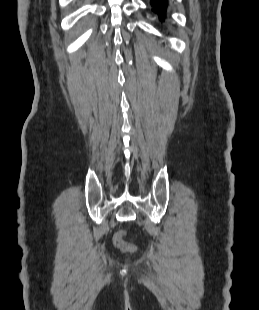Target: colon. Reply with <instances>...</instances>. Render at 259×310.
Returning a JSON list of instances; mask_svg holds the SVG:
<instances>
[{
    "mask_svg": "<svg viewBox=\"0 0 259 310\" xmlns=\"http://www.w3.org/2000/svg\"><path fill=\"white\" fill-rule=\"evenodd\" d=\"M125 232L119 231L114 237V244L123 251L132 252L135 250V246L125 241Z\"/></svg>",
    "mask_w": 259,
    "mask_h": 310,
    "instance_id": "colon-1",
    "label": "colon"
}]
</instances>
